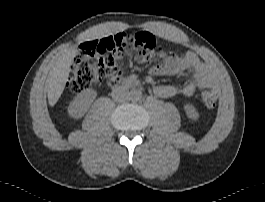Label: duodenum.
I'll return each instance as SVG.
<instances>
[{"label": "duodenum", "instance_id": "1", "mask_svg": "<svg viewBox=\"0 0 265 202\" xmlns=\"http://www.w3.org/2000/svg\"><path fill=\"white\" fill-rule=\"evenodd\" d=\"M131 86V82L129 80H123L122 81V87L123 88H128Z\"/></svg>", "mask_w": 265, "mask_h": 202}]
</instances>
